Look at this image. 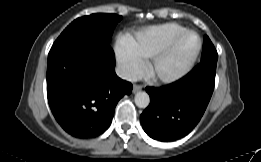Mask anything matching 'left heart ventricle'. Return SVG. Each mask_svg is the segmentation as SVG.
<instances>
[{
    "instance_id": "left-heart-ventricle-1",
    "label": "left heart ventricle",
    "mask_w": 261,
    "mask_h": 162,
    "mask_svg": "<svg viewBox=\"0 0 261 162\" xmlns=\"http://www.w3.org/2000/svg\"><path fill=\"white\" fill-rule=\"evenodd\" d=\"M198 39L194 34L185 35L157 67L160 73H171L179 69L194 52Z\"/></svg>"
}]
</instances>
